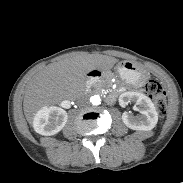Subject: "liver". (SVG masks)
<instances>
[{
  "instance_id": "1",
  "label": "liver",
  "mask_w": 183,
  "mask_h": 183,
  "mask_svg": "<svg viewBox=\"0 0 183 183\" xmlns=\"http://www.w3.org/2000/svg\"><path fill=\"white\" fill-rule=\"evenodd\" d=\"M117 62L114 57L101 54H77L47 65L35 74L24 91V113L33 123L43 107L69 98L73 90L84 87L87 73L95 69L107 70Z\"/></svg>"
}]
</instances>
